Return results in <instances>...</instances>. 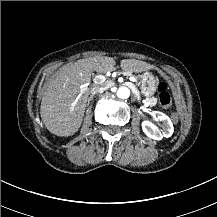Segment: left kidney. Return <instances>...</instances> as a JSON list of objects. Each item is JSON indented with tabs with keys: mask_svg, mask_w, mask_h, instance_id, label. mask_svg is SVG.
<instances>
[{
	"mask_svg": "<svg viewBox=\"0 0 217 217\" xmlns=\"http://www.w3.org/2000/svg\"><path fill=\"white\" fill-rule=\"evenodd\" d=\"M154 120L161 121L160 127L155 126L149 121H143L141 128L143 133L150 139L160 141L164 137L169 138L174 132L173 124L168 116L165 114L155 111Z\"/></svg>",
	"mask_w": 217,
	"mask_h": 217,
	"instance_id": "left-kidney-1",
	"label": "left kidney"
}]
</instances>
